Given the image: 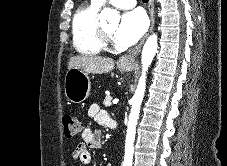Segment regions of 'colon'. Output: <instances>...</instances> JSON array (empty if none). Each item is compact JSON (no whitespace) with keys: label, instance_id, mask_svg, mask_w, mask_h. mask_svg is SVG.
I'll use <instances>...</instances> for the list:
<instances>
[{"label":"colon","instance_id":"5ec220e1","mask_svg":"<svg viewBox=\"0 0 227 166\" xmlns=\"http://www.w3.org/2000/svg\"><path fill=\"white\" fill-rule=\"evenodd\" d=\"M64 133L66 137H74L81 130L79 118L75 115H65L63 117Z\"/></svg>","mask_w":227,"mask_h":166}]
</instances>
